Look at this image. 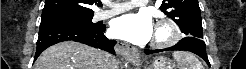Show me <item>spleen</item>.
Listing matches in <instances>:
<instances>
[{"label": "spleen", "instance_id": "obj_1", "mask_svg": "<svg viewBox=\"0 0 246 69\" xmlns=\"http://www.w3.org/2000/svg\"><path fill=\"white\" fill-rule=\"evenodd\" d=\"M173 58L177 61L179 69H204L202 63L192 53L176 51Z\"/></svg>", "mask_w": 246, "mask_h": 69}]
</instances>
